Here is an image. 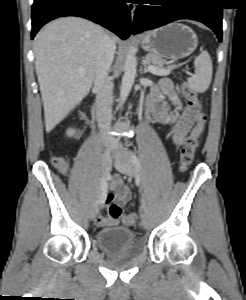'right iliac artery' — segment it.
<instances>
[{
  "label": "right iliac artery",
  "instance_id": "right-iliac-artery-1",
  "mask_svg": "<svg viewBox=\"0 0 246 300\" xmlns=\"http://www.w3.org/2000/svg\"><path fill=\"white\" fill-rule=\"evenodd\" d=\"M100 197L98 200L99 204H102L104 202L106 193H107V181L105 179V177H102L100 180Z\"/></svg>",
  "mask_w": 246,
  "mask_h": 300
}]
</instances>
